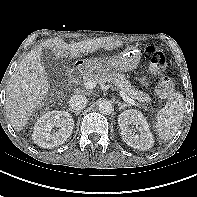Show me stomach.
I'll return each mask as SVG.
<instances>
[{"mask_svg":"<svg viewBox=\"0 0 197 197\" xmlns=\"http://www.w3.org/2000/svg\"><path fill=\"white\" fill-rule=\"evenodd\" d=\"M141 60V52L132 46H128L118 56H112L108 59L91 58L81 60L77 63L78 67L89 73L114 71L128 72L136 69Z\"/></svg>","mask_w":197,"mask_h":197,"instance_id":"1","label":"stomach"}]
</instances>
